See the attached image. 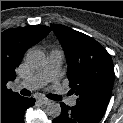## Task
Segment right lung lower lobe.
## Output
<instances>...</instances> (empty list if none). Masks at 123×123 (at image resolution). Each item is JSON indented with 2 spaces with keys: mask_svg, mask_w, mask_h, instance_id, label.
<instances>
[{
  "mask_svg": "<svg viewBox=\"0 0 123 123\" xmlns=\"http://www.w3.org/2000/svg\"><path fill=\"white\" fill-rule=\"evenodd\" d=\"M35 99L22 96L1 101V123H24V113Z\"/></svg>",
  "mask_w": 123,
  "mask_h": 123,
  "instance_id": "obj_1",
  "label": "right lung lower lobe"
}]
</instances>
